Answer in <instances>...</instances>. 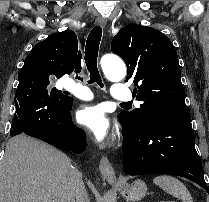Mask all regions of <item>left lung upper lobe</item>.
Listing matches in <instances>:
<instances>
[{"instance_id":"obj_1","label":"left lung upper lobe","mask_w":209,"mask_h":202,"mask_svg":"<svg viewBox=\"0 0 209 202\" xmlns=\"http://www.w3.org/2000/svg\"><path fill=\"white\" fill-rule=\"evenodd\" d=\"M111 50L125 61L126 81L136 86L133 96L143 101L138 109L120 112V123L136 128L152 113L190 117L178 56L163 33L148 26L128 24L113 38Z\"/></svg>"}]
</instances>
